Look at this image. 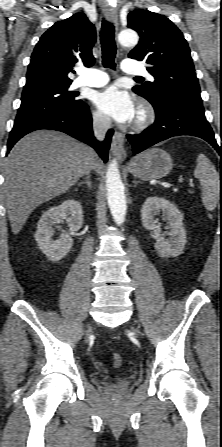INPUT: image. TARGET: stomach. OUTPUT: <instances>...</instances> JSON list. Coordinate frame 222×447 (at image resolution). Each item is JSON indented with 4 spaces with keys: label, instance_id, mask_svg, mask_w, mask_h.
<instances>
[{
    "label": "stomach",
    "instance_id": "1",
    "mask_svg": "<svg viewBox=\"0 0 222 447\" xmlns=\"http://www.w3.org/2000/svg\"><path fill=\"white\" fill-rule=\"evenodd\" d=\"M169 153L159 148L149 149L138 155L130 164V172L141 180L161 179L172 170Z\"/></svg>",
    "mask_w": 222,
    "mask_h": 447
}]
</instances>
